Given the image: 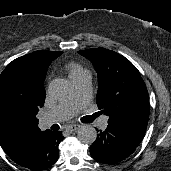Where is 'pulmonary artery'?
<instances>
[{"instance_id": "e3ab8cb5", "label": "pulmonary artery", "mask_w": 171, "mask_h": 171, "mask_svg": "<svg viewBox=\"0 0 171 171\" xmlns=\"http://www.w3.org/2000/svg\"><path fill=\"white\" fill-rule=\"evenodd\" d=\"M74 91L72 96L65 102H62L50 109L44 116L46 124H52L67 120L74 116L80 109L89 104L91 100V75L89 72L71 79ZM108 118L101 117L99 126L106 128Z\"/></svg>"}]
</instances>
